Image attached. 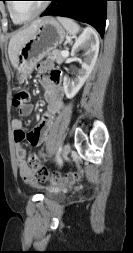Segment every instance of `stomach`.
I'll use <instances>...</instances> for the list:
<instances>
[{"label": "stomach", "instance_id": "1", "mask_svg": "<svg viewBox=\"0 0 133 253\" xmlns=\"http://www.w3.org/2000/svg\"><path fill=\"white\" fill-rule=\"evenodd\" d=\"M65 35L64 28L54 18H44L36 33L18 53L15 67L18 80L24 81L32 73L37 62L64 41Z\"/></svg>", "mask_w": 133, "mask_h": 253}]
</instances>
